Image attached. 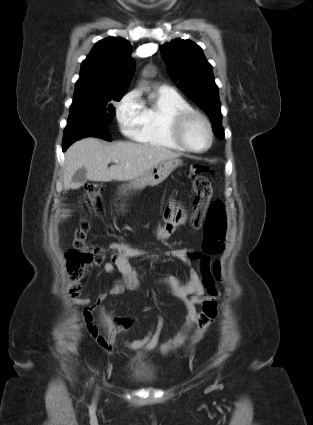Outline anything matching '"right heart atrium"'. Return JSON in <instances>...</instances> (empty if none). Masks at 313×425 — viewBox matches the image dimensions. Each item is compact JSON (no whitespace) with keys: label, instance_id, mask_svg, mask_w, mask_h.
Returning a JSON list of instances; mask_svg holds the SVG:
<instances>
[{"label":"right heart atrium","instance_id":"1","mask_svg":"<svg viewBox=\"0 0 313 425\" xmlns=\"http://www.w3.org/2000/svg\"><path fill=\"white\" fill-rule=\"evenodd\" d=\"M116 118L120 129L126 135L133 136L142 120V103L136 91L127 93L116 106Z\"/></svg>","mask_w":313,"mask_h":425}]
</instances>
